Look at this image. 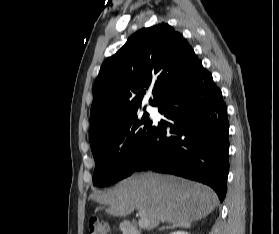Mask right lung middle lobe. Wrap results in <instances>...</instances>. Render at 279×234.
<instances>
[{"label":"right lung middle lobe","instance_id":"right-lung-middle-lobe-1","mask_svg":"<svg viewBox=\"0 0 279 234\" xmlns=\"http://www.w3.org/2000/svg\"><path fill=\"white\" fill-rule=\"evenodd\" d=\"M144 112L127 118L109 135L91 144L95 159L93 184L104 187L134 171L147 151L155 125Z\"/></svg>","mask_w":279,"mask_h":234}]
</instances>
